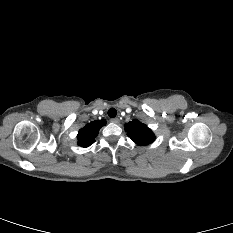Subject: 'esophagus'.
Wrapping results in <instances>:
<instances>
[{"mask_svg": "<svg viewBox=\"0 0 233 233\" xmlns=\"http://www.w3.org/2000/svg\"><path fill=\"white\" fill-rule=\"evenodd\" d=\"M112 123H119V119L118 118H112L111 120H110Z\"/></svg>", "mask_w": 233, "mask_h": 233, "instance_id": "esophagus-1", "label": "esophagus"}]
</instances>
